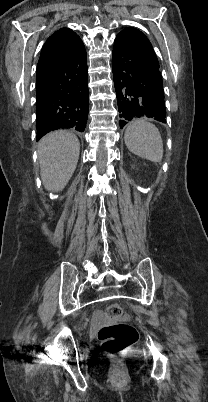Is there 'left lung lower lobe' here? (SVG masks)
Listing matches in <instances>:
<instances>
[{
  "mask_svg": "<svg viewBox=\"0 0 208 402\" xmlns=\"http://www.w3.org/2000/svg\"><path fill=\"white\" fill-rule=\"evenodd\" d=\"M151 51L148 38L138 29L125 28L115 38L112 70L121 128L139 117L166 123L162 76Z\"/></svg>",
  "mask_w": 208,
  "mask_h": 402,
  "instance_id": "0a47b994",
  "label": "left lung lower lobe"
}]
</instances>
